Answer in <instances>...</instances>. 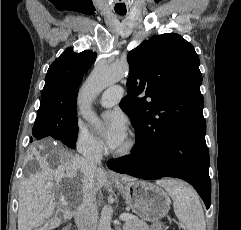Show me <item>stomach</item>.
Wrapping results in <instances>:
<instances>
[{
	"mask_svg": "<svg viewBox=\"0 0 241 230\" xmlns=\"http://www.w3.org/2000/svg\"><path fill=\"white\" fill-rule=\"evenodd\" d=\"M115 185L138 217L153 223L154 230H161L160 221L170 210V199L161 187L141 180H121Z\"/></svg>",
	"mask_w": 241,
	"mask_h": 230,
	"instance_id": "1",
	"label": "stomach"
}]
</instances>
